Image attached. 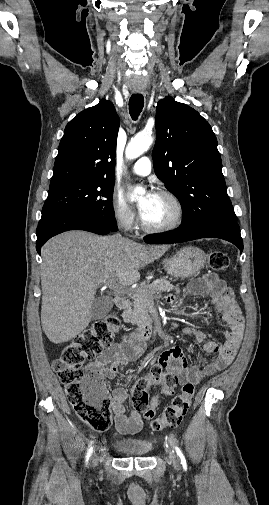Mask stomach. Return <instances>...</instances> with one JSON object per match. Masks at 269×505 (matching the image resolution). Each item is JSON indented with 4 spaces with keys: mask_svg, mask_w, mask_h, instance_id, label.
Listing matches in <instances>:
<instances>
[{
    "mask_svg": "<svg viewBox=\"0 0 269 505\" xmlns=\"http://www.w3.org/2000/svg\"><path fill=\"white\" fill-rule=\"evenodd\" d=\"M206 254L197 247H185L164 261L166 272L174 278L195 276L204 267Z\"/></svg>",
    "mask_w": 269,
    "mask_h": 505,
    "instance_id": "0dacf381",
    "label": "stomach"
}]
</instances>
